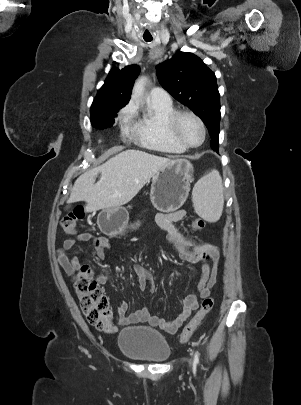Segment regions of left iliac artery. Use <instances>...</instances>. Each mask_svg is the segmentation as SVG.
Here are the masks:
<instances>
[{
	"instance_id": "obj_1",
	"label": "left iliac artery",
	"mask_w": 301,
	"mask_h": 405,
	"mask_svg": "<svg viewBox=\"0 0 301 405\" xmlns=\"http://www.w3.org/2000/svg\"><path fill=\"white\" fill-rule=\"evenodd\" d=\"M198 363H199V353L198 351H196L194 356V364L197 365Z\"/></svg>"
}]
</instances>
